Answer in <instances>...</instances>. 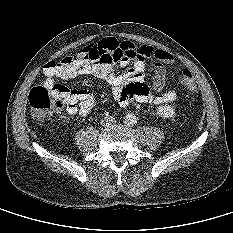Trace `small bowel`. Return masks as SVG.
<instances>
[{"instance_id":"c3829d8e","label":"small bowel","mask_w":233,"mask_h":233,"mask_svg":"<svg viewBox=\"0 0 233 233\" xmlns=\"http://www.w3.org/2000/svg\"><path fill=\"white\" fill-rule=\"evenodd\" d=\"M113 47V49H111ZM87 59L81 56L89 51ZM77 58L68 65H45L42 85L59 95L69 115L86 116L94 106V95L86 89L71 90L58 83L78 76H93L104 80L111 88L120 106L136 101L143 104H166L174 101V90H165V65H172L171 54L150 46L138 47L131 42L108 38L82 48ZM151 59L155 67L153 93L145 83V60ZM131 66L128 68V65Z\"/></svg>"}]
</instances>
